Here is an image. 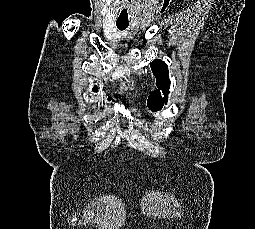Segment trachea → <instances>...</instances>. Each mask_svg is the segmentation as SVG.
<instances>
[{
  "mask_svg": "<svg viewBox=\"0 0 255 229\" xmlns=\"http://www.w3.org/2000/svg\"><path fill=\"white\" fill-rule=\"evenodd\" d=\"M116 26L120 31H123L128 27V23H116Z\"/></svg>",
  "mask_w": 255,
  "mask_h": 229,
  "instance_id": "3493384b",
  "label": "trachea"
}]
</instances>
